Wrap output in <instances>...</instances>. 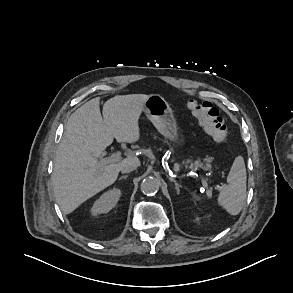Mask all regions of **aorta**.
<instances>
[{"mask_svg":"<svg viewBox=\"0 0 293 293\" xmlns=\"http://www.w3.org/2000/svg\"><path fill=\"white\" fill-rule=\"evenodd\" d=\"M160 187V180L154 176H148L141 183V191L146 195H154Z\"/></svg>","mask_w":293,"mask_h":293,"instance_id":"1","label":"aorta"}]
</instances>
